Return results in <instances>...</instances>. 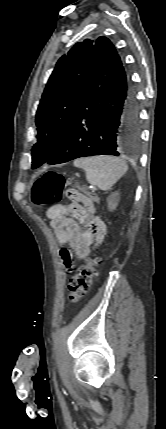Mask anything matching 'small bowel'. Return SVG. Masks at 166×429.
<instances>
[{"instance_id":"c3829d8e","label":"small bowel","mask_w":166,"mask_h":429,"mask_svg":"<svg viewBox=\"0 0 166 429\" xmlns=\"http://www.w3.org/2000/svg\"><path fill=\"white\" fill-rule=\"evenodd\" d=\"M50 226L58 243H68L75 254L81 259L90 255V246L94 242H102L106 234V226L96 215L94 206H82L78 203L59 204L47 210ZM78 220L84 229H81ZM62 263L67 271L73 267V253L67 248L59 250Z\"/></svg>"}]
</instances>
